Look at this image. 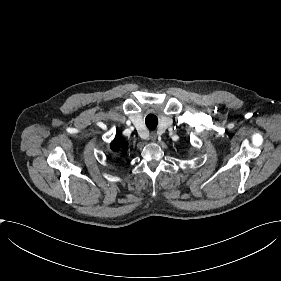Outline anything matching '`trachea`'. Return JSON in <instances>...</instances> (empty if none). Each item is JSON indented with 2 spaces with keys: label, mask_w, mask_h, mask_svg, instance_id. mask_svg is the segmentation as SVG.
Listing matches in <instances>:
<instances>
[{
  "label": "trachea",
  "mask_w": 281,
  "mask_h": 281,
  "mask_svg": "<svg viewBox=\"0 0 281 281\" xmlns=\"http://www.w3.org/2000/svg\"><path fill=\"white\" fill-rule=\"evenodd\" d=\"M146 126L150 130H154L157 127V117L154 114H149L145 119Z\"/></svg>",
  "instance_id": "1"
}]
</instances>
